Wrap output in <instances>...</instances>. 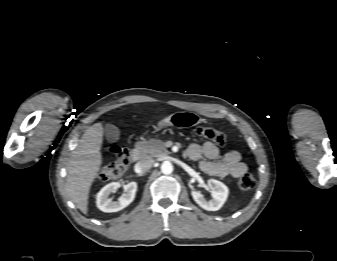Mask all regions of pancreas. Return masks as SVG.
Segmentation results:
<instances>
[{
    "label": "pancreas",
    "mask_w": 337,
    "mask_h": 261,
    "mask_svg": "<svg viewBox=\"0 0 337 261\" xmlns=\"http://www.w3.org/2000/svg\"><path fill=\"white\" fill-rule=\"evenodd\" d=\"M137 148L141 151L143 158H156L168 154L165 144L161 140L150 139L137 143Z\"/></svg>",
    "instance_id": "cf45deb5"
}]
</instances>
